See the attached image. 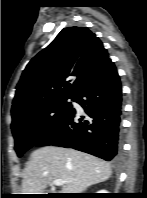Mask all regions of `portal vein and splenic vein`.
I'll return each instance as SVG.
<instances>
[{
    "label": "portal vein and splenic vein",
    "instance_id": "1",
    "mask_svg": "<svg viewBox=\"0 0 147 198\" xmlns=\"http://www.w3.org/2000/svg\"><path fill=\"white\" fill-rule=\"evenodd\" d=\"M65 183H66V182L63 181V180H61V179H56V180H54V185H55V186H61V185L65 184Z\"/></svg>",
    "mask_w": 147,
    "mask_h": 198
}]
</instances>
